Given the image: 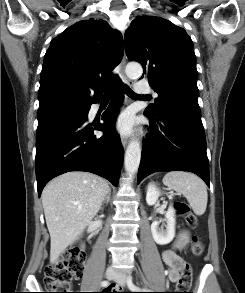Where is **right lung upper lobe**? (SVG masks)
Here are the masks:
<instances>
[{
	"label": "right lung upper lobe",
	"instance_id": "cb5924a9",
	"mask_svg": "<svg viewBox=\"0 0 245 293\" xmlns=\"http://www.w3.org/2000/svg\"><path fill=\"white\" fill-rule=\"evenodd\" d=\"M122 35L103 19L75 23L51 41L40 77L39 108L58 104L89 105L114 84L121 62Z\"/></svg>",
	"mask_w": 245,
	"mask_h": 293
}]
</instances>
